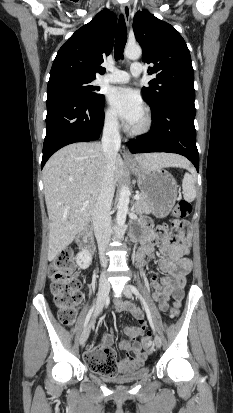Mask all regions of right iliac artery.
<instances>
[{
    "label": "right iliac artery",
    "instance_id": "82829eb1",
    "mask_svg": "<svg viewBox=\"0 0 233 413\" xmlns=\"http://www.w3.org/2000/svg\"><path fill=\"white\" fill-rule=\"evenodd\" d=\"M94 307H95V306H93V307L89 310V312H88V314H87V316H86V318H85L84 325H83L84 328L87 326V324H88V322H89V320H90V318H91V316H92Z\"/></svg>",
    "mask_w": 233,
    "mask_h": 413
}]
</instances>
